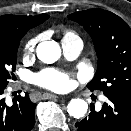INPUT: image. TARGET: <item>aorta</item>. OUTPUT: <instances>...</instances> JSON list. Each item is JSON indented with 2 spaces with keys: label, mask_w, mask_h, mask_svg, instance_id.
Instances as JSON below:
<instances>
[{
  "label": "aorta",
  "mask_w": 131,
  "mask_h": 131,
  "mask_svg": "<svg viewBox=\"0 0 131 131\" xmlns=\"http://www.w3.org/2000/svg\"><path fill=\"white\" fill-rule=\"evenodd\" d=\"M60 55V46L55 41H44L37 46V56L44 63H54L59 59ZM87 109V102L80 98L72 99L67 106L69 115L77 119L83 117Z\"/></svg>",
  "instance_id": "obj_1"
}]
</instances>
